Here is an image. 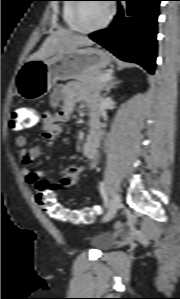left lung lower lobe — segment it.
<instances>
[{"mask_svg":"<svg viewBox=\"0 0 180 299\" xmlns=\"http://www.w3.org/2000/svg\"><path fill=\"white\" fill-rule=\"evenodd\" d=\"M117 1H126V4L119 6L110 26L91 33L89 37L121 60L137 63L153 74L157 52V18L162 0Z\"/></svg>","mask_w":180,"mask_h":299,"instance_id":"1","label":"left lung lower lobe"}]
</instances>
